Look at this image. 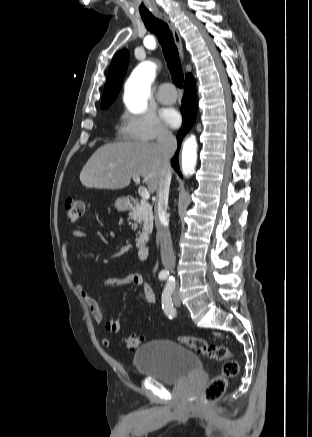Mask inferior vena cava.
I'll return each mask as SVG.
<instances>
[{
    "mask_svg": "<svg viewBox=\"0 0 312 437\" xmlns=\"http://www.w3.org/2000/svg\"><path fill=\"white\" fill-rule=\"evenodd\" d=\"M158 151L160 173L157 187V205L155 207V224L160 240L161 260L165 269L170 271L175 267V255L172 246L171 234L168 227L166 211L168 207L169 188L171 182L170 158L177 148V141L173 134L162 129L158 136Z\"/></svg>",
    "mask_w": 312,
    "mask_h": 437,
    "instance_id": "602c4592",
    "label": "inferior vena cava"
}]
</instances>
